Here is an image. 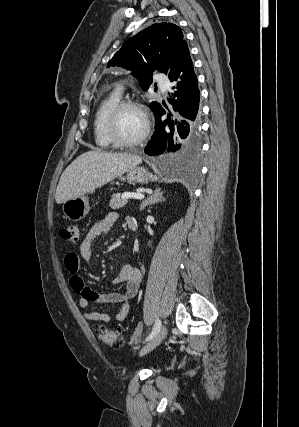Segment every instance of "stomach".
Segmentation results:
<instances>
[{"label": "stomach", "instance_id": "1", "mask_svg": "<svg viewBox=\"0 0 299 427\" xmlns=\"http://www.w3.org/2000/svg\"><path fill=\"white\" fill-rule=\"evenodd\" d=\"M126 180L130 183L147 184L154 181L155 177L143 167H134L127 172ZM64 215L71 221L83 219L89 212V199L86 195L72 198L63 203Z\"/></svg>", "mask_w": 299, "mask_h": 427}]
</instances>
